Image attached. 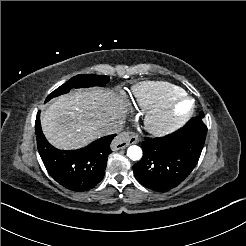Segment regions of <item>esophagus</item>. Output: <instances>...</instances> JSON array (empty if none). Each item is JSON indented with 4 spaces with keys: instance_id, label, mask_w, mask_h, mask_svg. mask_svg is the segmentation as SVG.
Listing matches in <instances>:
<instances>
[{
    "instance_id": "1",
    "label": "esophagus",
    "mask_w": 246,
    "mask_h": 246,
    "mask_svg": "<svg viewBox=\"0 0 246 246\" xmlns=\"http://www.w3.org/2000/svg\"><path fill=\"white\" fill-rule=\"evenodd\" d=\"M139 138L135 132L127 131L119 134L112 142L111 147L114 151L124 149L131 144H137Z\"/></svg>"
}]
</instances>
